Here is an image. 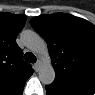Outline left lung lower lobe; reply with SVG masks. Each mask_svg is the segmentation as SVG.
Wrapping results in <instances>:
<instances>
[{"mask_svg":"<svg viewBox=\"0 0 95 95\" xmlns=\"http://www.w3.org/2000/svg\"><path fill=\"white\" fill-rule=\"evenodd\" d=\"M47 95H92L95 89L78 85L75 83L64 82L46 86Z\"/></svg>","mask_w":95,"mask_h":95,"instance_id":"0a47b994","label":"left lung lower lobe"}]
</instances>
